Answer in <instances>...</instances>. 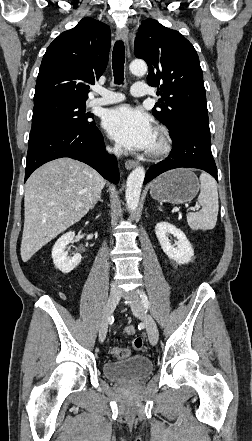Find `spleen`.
Listing matches in <instances>:
<instances>
[{"mask_svg":"<svg viewBox=\"0 0 252 441\" xmlns=\"http://www.w3.org/2000/svg\"><path fill=\"white\" fill-rule=\"evenodd\" d=\"M200 182L198 202L202 209L197 213H188L187 222L192 230H211L216 225L219 210L217 186L207 173L200 175Z\"/></svg>","mask_w":252,"mask_h":441,"instance_id":"spleen-1","label":"spleen"}]
</instances>
